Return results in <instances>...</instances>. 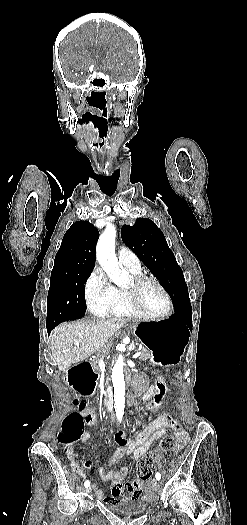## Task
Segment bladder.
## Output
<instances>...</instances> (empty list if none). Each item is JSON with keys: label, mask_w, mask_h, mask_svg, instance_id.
<instances>
[{"label": "bladder", "mask_w": 247, "mask_h": 525, "mask_svg": "<svg viewBox=\"0 0 247 525\" xmlns=\"http://www.w3.org/2000/svg\"><path fill=\"white\" fill-rule=\"evenodd\" d=\"M154 504L148 495L141 497L124 498L120 501L106 502L105 508L119 517L141 516Z\"/></svg>", "instance_id": "1"}]
</instances>
